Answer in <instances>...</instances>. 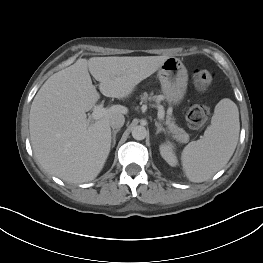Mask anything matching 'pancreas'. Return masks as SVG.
<instances>
[{"label":"pancreas","mask_w":263,"mask_h":263,"mask_svg":"<svg viewBox=\"0 0 263 263\" xmlns=\"http://www.w3.org/2000/svg\"><path fill=\"white\" fill-rule=\"evenodd\" d=\"M163 99V96L161 95H148L147 93H144L141 96L142 101H155L159 103ZM167 125L168 132L172 134V137L180 142V143H187L189 141V135L183 130L182 128H179L175 122L174 119L168 115L167 120L165 122Z\"/></svg>","instance_id":"1"}]
</instances>
